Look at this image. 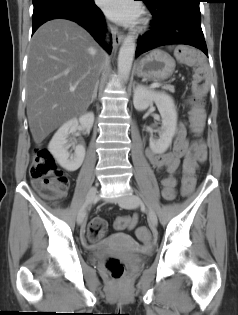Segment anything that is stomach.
<instances>
[{
	"instance_id": "stomach-1",
	"label": "stomach",
	"mask_w": 238,
	"mask_h": 315,
	"mask_svg": "<svg viewBox=\"0 0 238 315\" xmlns=\"http://www.w3.org/2000/svg\"><path fill=\"white\" fill-rule=\"evenodd\" d=\"M175 70V60L165 51L155 49L142 58L136 66L139 77L166 79Z\"/></svg>"
}]
</instances>
